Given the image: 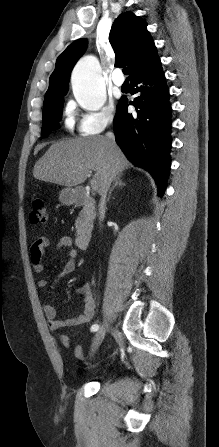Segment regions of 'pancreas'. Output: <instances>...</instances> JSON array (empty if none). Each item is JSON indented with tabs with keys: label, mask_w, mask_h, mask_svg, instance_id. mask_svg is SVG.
<instances>
[{
	"label": "pancreas",
	"mask_w": 219,
	"mask_h": 447,
	"mask_svg": "<svg viewBox=\"0 0 219 447\" xmlns=\"http://www.w3.org/2000/svg\"><path fill=\"white\" fill-rule=\"evenodd\" d=\"M84 212L80 213V216L77 218L75 222V227L77 232H82L83 230L90 231L92 229V223L94 219V215H83Z\"/></svg>",
	"instance_id": "cf45deb5"
}]
</instances>
